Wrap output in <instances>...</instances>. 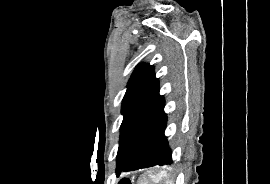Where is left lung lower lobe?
Instances as JSON below:
<instances>
[{"label":"left lung lower lobe","instance_id":"1","mask_svg":"<svg viewBox=\"0 0 270 184\" xmlns=\"http://www.w3.org/2000/svg\"><path fill=\"white\" fill-rule=\"evenodd\" d=\"M164 106L165 102L134 142L122 165L117 169V176L121 172L134 171L156 165H170L173 162L172 152L169 148L167 137L164 134L167 123Z\"/></svg>","mask_w":270,"mask_h":184}]
</instances>
